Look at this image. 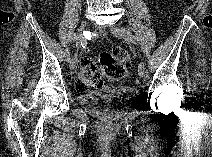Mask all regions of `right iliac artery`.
<instances>
[{
  "label": "right iliac artery",
  "mask_w": 212,
  "mask_h": 157,
  "mask_svg": "<svg viewBox=\"0 0 212 157\" xmlns=\"http://www.w3.org/2000/svg\"><path fill=\"white\" fill-rule=\"evenodd\" d=\"M75 40H76L75 35H73V36L70 37L69 42H70V43H73ZM64 56H65L66 61H68V62L71 61L70 50H69V48H67V49L65 50Z\"/></svg>",
  "instance_id": "right-iliac-artery-1"
}]
</instances>
